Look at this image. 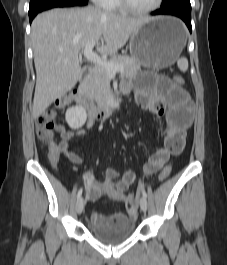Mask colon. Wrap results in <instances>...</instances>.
I'll use <instances>...</instances> for the list:
<instances>
[{
	"instance_id": "obj_1",
	"label": "colon",
	"mask_w": 227,
	"mask_h": 265,
	"mask_svg": "<svg viewBox=\"0 0 227 265\" xmlns=\"http://www.w3.org/2000/svg\"><path fill=\"white\" fill-rule=\"evenodd\" d=\"M174 83L178 86L184 84V78L181 75H175ZM73 101L72 95H63L58 98L54 105L45 111H43L38 117L36 121V131L38 138L47 143L49 148L54 145V131H55V117L58 110H61L68 106ZM172 171V166L167 165L165 166L162 171L160 172L158 179L160 181H164L168 178ZM129 204L132 208L137 205L138 197L137 195L131 194L128 197Z\"/></svg>"
}]
</instances>
